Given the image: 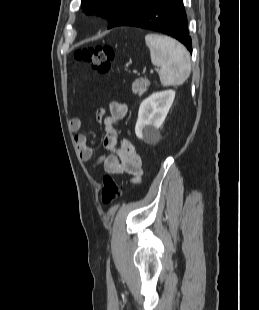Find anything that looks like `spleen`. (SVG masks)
Segmentation results:
<instances>
[{
    "mask_svg": "<svg viewBox=\"0 0 259 310\" xmlns=\"http://www.w3.org/2000/svg\"><path fill=\"white\" fill-rule=\"evenodd\" d=\"M145 42L150 49L152 64L160 68L161 84L182 85L191 73V60L187 49L165 35L147 34Z\"/></svg>",
    "mask_w": 259,
    "mask_h": 310,
    "instance_id": "1",
    "label": "spleen"
}]
</instances>
